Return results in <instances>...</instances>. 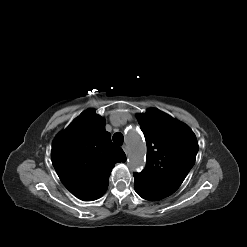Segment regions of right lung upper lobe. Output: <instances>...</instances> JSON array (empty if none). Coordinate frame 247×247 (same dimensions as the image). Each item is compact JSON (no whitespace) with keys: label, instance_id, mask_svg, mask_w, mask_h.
<instances>
[{"label":"right lung upper lobe","instance_id":"right-lung-upper-lobe-1","mask_svg":"<svg viewBox=\"0 0 247 247\" xmlns=\"http://www.w3.org/2000/svg\"><path fill=\"white\" fill-rule=\"evenodd\" d=\"M51 157L64 186L84 201L100 198L107 190L114 165L126 161L123 150L105 131V119L92 109L55 137Z\"/></svg>","mask_w":247,"mask_h":247}]
</instances>
